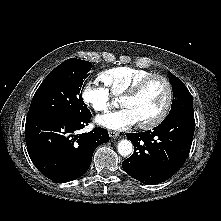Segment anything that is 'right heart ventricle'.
I'll list each match as a JSON object with an SVG mask.
<instances>
[{
    "label": "right heart ventricle",
    "instance_id": "1",
    "mask_svg": "<svg viewBox=\"0 0 221 221\" xmlns=\"http://www.w3.org/2000/svg\"><path fill=\"white\" fill-rule=\"evenodd\" d=\"M151 72L134 67H115L104 70L98 76L112 96L120 97L126 93L138 80Z\"/></svg>",
    "mask_w": 221,
    "mask_h": 221
}]
</instances>
